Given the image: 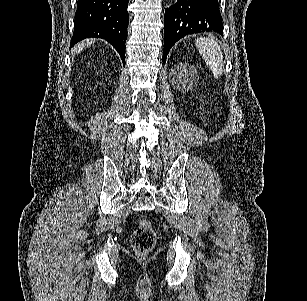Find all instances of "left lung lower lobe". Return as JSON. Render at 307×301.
Listing matches in <instances>:
<instances>
[{"instance_id": "obj_1", "label": "left lung lower lobe", "mask_w": 307, "mask_h": 301, "mask_svg": "<svg viewBox=\"0 0 307 301\" xmlns=\"http://www.w3.org/2000/svg\"><path fill=\"white\" fill-rule=\"evenodd\" d=\"M204 31L223 34L218 0H177L165 10L163 63L175 42Z\"/></svg>"}]
</instances>
